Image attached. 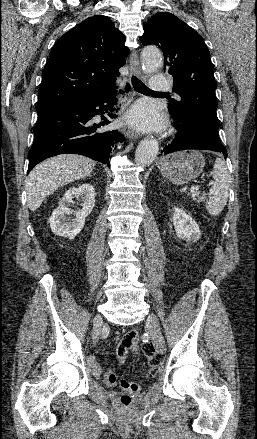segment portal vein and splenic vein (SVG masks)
I'll list each match as a JSON object with an SVG mask.
<instances>
[{
	"label": "portal vein and splenic vein",
	"mask_w": 257,
	"mask_h": 439,
	"mask_svg": "<svg viewBox=\"0 0 257 439\" xmlns=\"http://www.w3.org/2000/svg\"><path fill=\"white\" fill-rule=\"evenodd\" d=\"M199 190V186H192L190 191L191 192H197Z\"/></svg>",
	"instance_id": "1"
}]
</instances>
